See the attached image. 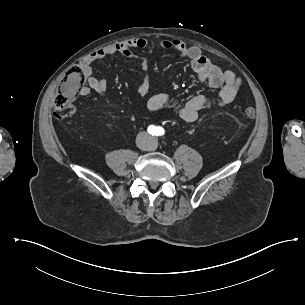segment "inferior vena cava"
<instances>
[{"label": "inferior vena cava", "instance_id": "1", "mask_svg": "<svg viewBox=\"0 0 305 305\" xmlns=\"http://www.w3.org/2000/svg\"><path fill=\"white\" fill-rule=\"evenodd\" d=\"M144 137L140 138V134L137 137V146L141 149V150H151L152 148V144H153V140L150 136H148L147 134H143Z\"/></svg>", "mask_w": 305, "mask_h": 305}]
</instances>
